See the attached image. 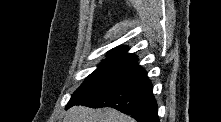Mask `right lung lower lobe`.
<instances>
[{
  "label": "right lung lower lobe",
  "instance_id": "1",
  "mask_svg": "<svg viewBox=\"0 0 221 122\" xmlns=\"http://www.w3.org/2000/svg\"><path fill=\"white\" fill-rule=\"evenodd\" d=\"M73 105L112 107L130 115L138 122H159L151 81L147 72L139 65L120 82L66 108Z\"/></svg>",
  "mask_w": 221,
  "mask_h": 122
}]
</instances>
